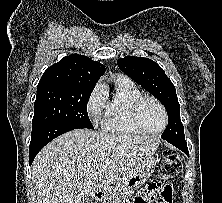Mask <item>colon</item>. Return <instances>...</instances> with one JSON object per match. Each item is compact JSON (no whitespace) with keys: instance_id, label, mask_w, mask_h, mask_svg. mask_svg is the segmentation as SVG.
I'll use <instances>...</instances> for the list:
<instances>
[{"instance_id":"colon-1","label":"colon","mask_w":222,"mask_h":203,"mask_svg":"<svg viewBox=\"0 0 222 203\" xmlns=\"http://www.w3.org/2000/svg\"><path fill=\"white\" fill-rule=\"evenodd\" d=\"M182 166V160L178 153L174 150H166L164 153L160 178L162 180H170L175 178L181 172ZM158 186V182L148 184L147 187L143 190V192L137 197V203H148L147 197H151L150 200H153L154 197L152 196V194L157 190ZM164 196L165 189H163L161 193L160 201H156V203H162Z\"/></svg>"}]
</instances>
